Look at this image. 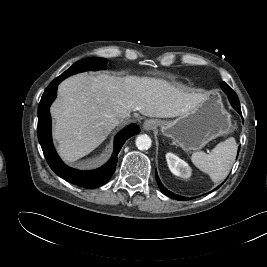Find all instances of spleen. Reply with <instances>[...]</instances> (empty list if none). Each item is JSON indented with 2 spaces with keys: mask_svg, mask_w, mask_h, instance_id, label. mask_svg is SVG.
Instances as JSON below:
<instances>
[{
  "mask_svg": "<svg viewBox=\"0 0 267 267\" xmlns=\"http://www.w3.org/2000/svg\"><path fill=\"white\" fill-rule=\"evenodd\" d=\"M236 153V141L230 137L217 144L209 154L202 151L193 153L191 160L199 170L208 174L214 183H218L229 174Z\"/></svg>",
  "mask_w": 267,
  "mask_h": 267,
  "instance_id": "1",
  "label": "spleen"
}]
</instances>
